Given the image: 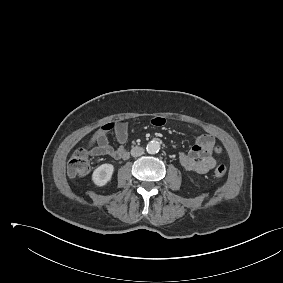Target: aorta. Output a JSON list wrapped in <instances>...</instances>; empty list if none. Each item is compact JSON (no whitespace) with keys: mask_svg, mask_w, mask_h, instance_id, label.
I'll use <instances>...</instances> for the list:
<instances>
[{"mask_svg":"<svg viewBox=\"0 0 283 283\" xmlns=\"http://www.w3.org/2000/svg\"><path fill=\"white\" fill-rule=\"evenodd\" d=\"M147 152L150 154L157 153L160 150V144L157 141H150L147 144Z\"/></svg>","mask_w":283,"mask_h":283,"instance_id":"1","label":"aorta"}]
</instances>
